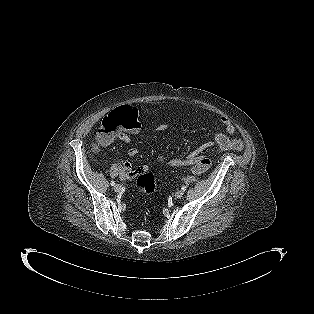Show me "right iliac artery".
I'll use <instances>...</instances> for the list:
<instances>
[{
  "label": "right iliac artery",
  "mask_w": 314,
  "mask_h": 314,
  "mask_svg": "<svg viewBox=\"0 0 314 314\" xmlns=\"http://www.w3.org/2000/svg\"><path fill=\"white\" fill-rule=\"evenodd\" d=\"M110 184H111V186H114V185H115V182H114V181H111Z\"/></svg>",
  "instance_id": "right-iliac-artery-1"
}]
</instances>
